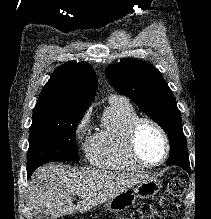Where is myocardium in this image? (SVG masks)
<instances>
[{"instance_id":"obj_1","label":"myocardium","mask_w":211,"mask_h":219,"mask_svg":"<svg viewBox=\"0 0 211 219\" xmlns=\"http://www.w3.org/2000/svg\"><path fill=\"white\" fill-rule=\"evenodd\" d=\"M150 124L152 126H154L157 131L161 134L162 138H163V142H164V154L162 159L155 163V164H150L145 162L138 151V146H137V135H138V131L141 127L142 124ZM127 147H128V151L130 156L132 157V159L141 167L143 168H158L161 167L162 165H164L166 163V161L169 158L170 155V140L168 137L167 132L165 131V129L162 127V125L157 122L155 119L150 118V117H137L134 121H132V123L130 124L129 128H128V132H127Z\"/></svg>"}]
</instances>
